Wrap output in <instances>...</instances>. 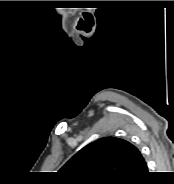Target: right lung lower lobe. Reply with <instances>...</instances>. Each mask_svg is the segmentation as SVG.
Instances as JSON below:
<instances>
[{
  "instance_id": "1",
  "label": "right lung lower lobe",
  "mask_w": 174,
  "mask_h": 184,
  "mask_svg": "<svg viewBox=\"0 0 174 184\" xmlns=\"http://www.w3.org/2000/svg\"><path fill=\"white\" fill-rule=\"evenodd\" d=\"M147 174H148V171L146 168V170L144 172H142L139 176H137L129 181L122 182L121 184H140V183H143V179Z\"/></svg>"
}]
</instances>
